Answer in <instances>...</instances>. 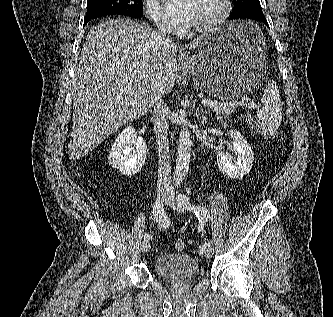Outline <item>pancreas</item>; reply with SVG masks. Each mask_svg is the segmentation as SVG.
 Listing matches in <instances>:
<instances>
[{
  "label": "pancreas",
  "mask_w": 333,
  "mask_h": 317,
  "mask_svg": "<svg viewBox=\"0 0 333 317\" xmlns=\"http://www.w3.org/2000/svg\"><path fill=\"white\" fill-rule=\"evenodd\" d=\"M209 107L218 115H223L225 117H230L236 108V106L231 105L230 103L218 102V101L216 104L209 105Z\"/></svg>",
  "instance_id": "pancreas-1"
}]
</instances>
